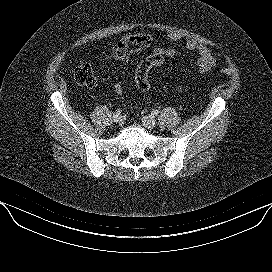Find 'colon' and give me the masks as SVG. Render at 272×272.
<instances>
[{
    "label": "colon",
    "instance_id": "5ec220e1",
    "mask_svg": "<svg viewBox=\"0 0 272 272\" xmlns=\"http://www.w3.org/2000/svg\"><path fill=\"white\" fill-rule=\"evenodd\" d=\"M151 37L148 35H135L132 38V45L128 50L123 49H113L110 55L108 56V60H121L125 58L129 52L138 51L142 48H145L149 45ZM165 61L164 56L152 54L146 59H144L138 66L135 74V82L137 87L143 92H149L151 90V86L149 83L148 75L150 70L153 67L161 66ZM223 74H228L229 70L227 68H222L220 70ZM74 80L77 84L84 87H92L95 85L96 78L94 74V69L90 63L83 62L79 64L73 74ZM123 85L117 83L114 85V91L117 94L123 93Z\"/></svg>",
    "mask_w": 272,
    "mask_h": 272
}]
</instances>
